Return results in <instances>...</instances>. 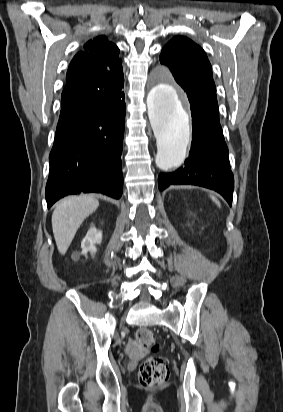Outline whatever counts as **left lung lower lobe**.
<instances>
[{"label": "left lung lower lobe", "mask_w": 283, "mask_h": 412, "mask_svg": "<svg viewBox=\"0 0 283 412\" xmlns=\"http://www.w3.org/2000/svg\"><path fill=\"white\" fill-rule=\"evenodd\" d=\"M181 86L191 103L193 131L190 156L176 171L159 175V190L178 184L201 186L217 191L231 206L234 177L219 121L218 104L195 94L184 84Z\"/></svg>", "instance_id": "1"}]
</instances>
